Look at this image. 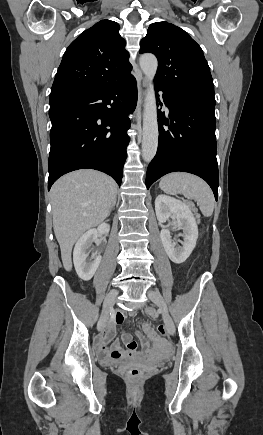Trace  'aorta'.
<instances>
[{
	"mask_svg": "<svg viewBox=\"0 0 263 435\" xmlns=\"http://www.w3.org/2000/svg\"><path fill=\"white\" fill-rule=\"evenodd\" d=\"M140 67L149 80L144 105L142 158L150 162L156 155L158 147V122L157 107L153 80L157 72V58L152 54H144L140 57Z\"/></svg>",
	"mask_w": 263,
	"mask_h": 435,
	"instance_id": "obj_1",
	"label": "aorta"
}]
</instances>
